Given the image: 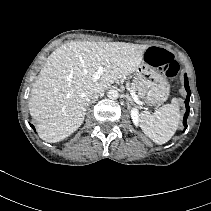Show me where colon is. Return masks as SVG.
<instances>
[{
	"instance_id": "colon-1",
	"label": "colon",
	"mask_w": 211,
	"mask_h": 211,
	"mask_svg": "<svg viewBox=\"0 0 211 211\" xmlns=\"http://www.w3.org/2000/svg\"><path fill=\"white\" fill-rule=\"evenodd\" d=\"M146 61L158 68L164 75L169 78H174L179 72V64L174 59V56L167 50L151 47L146 51Z\"/></svg>"
}]
</instances>
